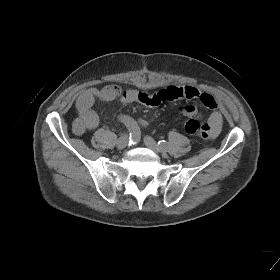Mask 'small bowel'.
<instances>
[{"instance_id": "1", "label": "small bowel", "mask_w": 280, "mask_h": 280, "mask_svg": "<svg viewBox=\"0 0 280 280\" xmlns=\"http://www.w3.org/2000/svg\"><path fill=\"white\" fill-rule=\"evenodd\" d=\"M113 97L108 94L106 88H90L83 91L77 99L76 108L78 117L74 121L73 131L77 135H82L88 130L98 126L97 114L91 109L96 100L109 101ZM187 100L188 103L181 107V111L189 118H199L201 115L196 105L192 102L198 101L208 109L213 110L207 119V124L212 128L211 138L215 137L223 123V115L217 110V102L213 96L203 93L191 86H168L155 93L148 94L135 89H128L123 92L120 101L127 105L133 102L140 103L147 107H155L164 101ZM136 122V121H135ZM137 125L145 126L144 120L136 122Z\"/></svg>"}]
</instances>
